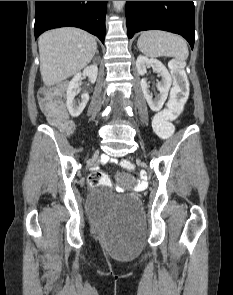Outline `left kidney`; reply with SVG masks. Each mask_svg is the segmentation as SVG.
<instances>
[{
    "label": "left kidney",
    "mask_w": 233,
    "mask_h": 295,
    "mask_svg": "<svg viewBox=\"0 0 233 295\" xmlns=\"http://www.w3.org/2000/svg\"><path fill=\"white\" fill-rule=\"evenodd\" d=\"M149 66L152 67V69L162 78V80L157 83V89L160 92L158 99L153 100L152 94L149 91V86L144 78L141 80V88L150 109L153 111H159L167 99L172 84V78L167 68L159 60L154 58L149 59L143 55L137 57L136 68L139 75L143 76L147 72V67Z\"/></svg>",
    "instance_id": "5707ae66"
}]
</instances>
